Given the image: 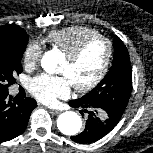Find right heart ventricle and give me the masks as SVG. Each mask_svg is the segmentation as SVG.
<instances>
[{
    "instance_id": "right-heart-ventricle-1",
    "label": "right heart ventricle",
    "mask_w": 153,
    "mask_h": 153,
    "mask_svg": "<svg viewBox=\"0 0 153 153\" xmlns=\"http://www.w3.org/2000/svg\"><path fill=\"white\" fill-rule=\"evenodd\" d=\"M97 34L99 32L91 27L69 26L51 31L47 36V40L66 55L83 40Z\"/></svg>"
}]
</instances>
